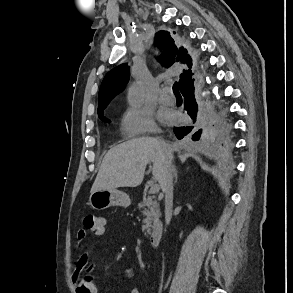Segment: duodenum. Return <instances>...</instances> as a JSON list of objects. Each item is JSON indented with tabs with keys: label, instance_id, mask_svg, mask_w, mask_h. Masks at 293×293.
<instances>
[{
	"label": "duodenum",
	"instance_id": "duodenum-1",
	"mask_svg": "<svg viewBox=\"0 0 293 293\" xmlns=\"http://www.w3.org/2000/svg\"><path fill=\"white\" fill-rule=\"evenodd\" d=\"M164 231V223L162 220L157 219L153 224V227L150 232V244L152 247L156 248L160 244L162 235Z\"/></svg>",
	"mask_w": 293,
	"mask_h": 293
}]
</instances>
